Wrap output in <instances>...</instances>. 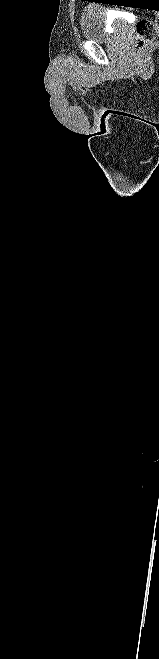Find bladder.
Returning <instances> with one entry per match:
<instances>
[{
  "label": "bladder",
  "instance_id": "obj_1",
  "mask_svg": "<svg viewBox=\"0 0 159 659\" xmlns=\"http://www.w3.org/2000/svg\"><path fill=\"white\" fill-rule=\"evenodd\" d=\"M80 25L83 37L88 40L104 41L111 35L106 29V10L101 7L86 6L81 14ZM111 31L113 34L119 33L121 24L113 23Z\"/></svg>",
  "mask_w": 159,
  "mask_h": 659
}]
</instances>
